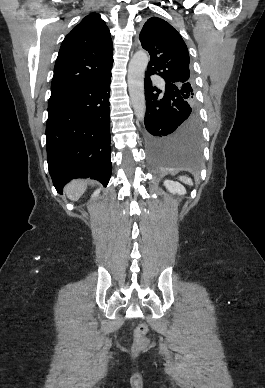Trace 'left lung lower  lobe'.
Returning a JSON list of instances; mask_svg holds the SVG:
<instances>
[{"instance_id":"obj_1","label":"left lung lower lobe","mask_w":265,"mask_h":388,"mask_svg":"<svg viewBox=\"0 0 265 388\" xmlns=\"http://www.w3.org/2000/svg\"><path fill=\"white\" fill-rule=\"evenodd\" d=\"M145 73V127L149 159L154 168L196 171L201 162V127L195 107L184 101L181 90L166 83L152 86Z\"/></svg>"}]
</instances>
